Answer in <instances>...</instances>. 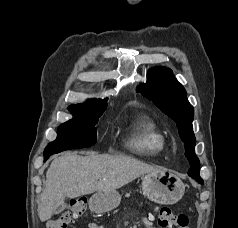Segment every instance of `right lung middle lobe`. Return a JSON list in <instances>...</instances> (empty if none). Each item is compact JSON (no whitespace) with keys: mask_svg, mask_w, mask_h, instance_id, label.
Wrapping results in <instances>:
<instances>
[{"mask_svg":"<svg viewBox=\"0 0 238 228\" xmlns=\"http://www.w3.org/2000/svg\"><path fill=\"white\" fill-rule=\"evenodd\" d=\"M106 107L107 103H104L96 106L90 113H72L74 117L59 126L57 139L48 144L44 154L94 145L97 140L95 125Z\"/></svg>","mask_w":238,"mask_h":228,"instance_id":"1","label":"right lung middle lobe"}]
</instances>
